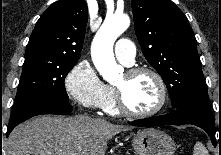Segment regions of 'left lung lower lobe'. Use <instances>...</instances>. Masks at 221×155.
Returning a JSON list of instances; mask_svg holds the SVG:
<instances>
[{
  "label": "left lung lower lobe",
  "mask_w": 221,
  "mask_h": 155,
  "mask_svg": "<svg viewBox=\"0 0 221 155\" xmlns=\"http://www.w3.org/2000/svg\"><path fill=\"white\" fill-rule=\"evenodd\" d=\"M130 124L139 127L192 124L204 129L216 145L215 118L210 109L208 93L190 97L166 115L135 120Z\"/></svg>",
  "instance_id": "obj_1"
}]
</instances>
